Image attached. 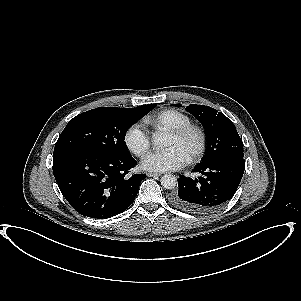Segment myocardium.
Masks as SVG:
<instances>
[{"mask_svg":"<svg viewBox=\"0 0 301 301\" xmlns=\"http://www.w3.org/2000/svg\"><path fill=\"white\" fill-rule=\"evenodd\" d=\"M166 135L176 139H183L189 136H194L195 144L193 148L184 157L185 160L192 161L197 158L204 150L205 135L202 129L196 125H189L183 128L169 130Z\"/></svg>","mask_w":301,"mask_h":301,"instance_id":"f54148a6","label":"myocardium"}]
</instances>
